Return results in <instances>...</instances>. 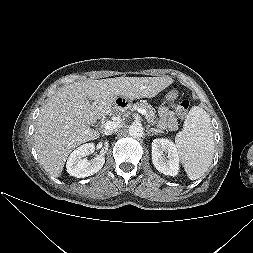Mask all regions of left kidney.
Here are the masks:
<instances>
[{"instance_id": "1", "label": "left kidney", "mask_w": 253, "mask_h": 253, "mask_svg": "<svg viewBox=\"0 0 253 253\" xmlns=\"http://www.w3.org/2000/svg\"><path fill=\"white\" fill-rule=\"evenodd\" d=\"M152 162L159 172L176 176L179 171V155L176 145L168 139H154L152 142Z\"/></svg>"}]
</instances>
